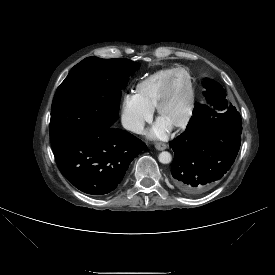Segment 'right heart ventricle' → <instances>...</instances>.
Instances as JSON below:
<instances>
[{"label": "right heart ventricle", "mask_w": 275, "mask_h": 275, "mask_svg": "<svg viewBox=\"0 0 275 275\" xmlns=\"http://www.w3.org/2000/svg\"><path fill=\"white\" fill-rule=\"evenodd\" d=\"M174 67L161 69L137 83L134 95L147 108L153 110Z\"/></svg>", "instance_id": "e07e8e85"}]
</instances>
